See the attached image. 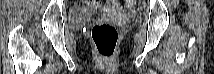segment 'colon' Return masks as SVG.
Listing matches in <instances>:
<instances>
[{
    "instance_id": "5ec220e1",
    "label": "colon",
    "mask_w": 214,
    "mask_h": 74,
    "mask_svg": "<svg viewBox=\"0 0 214 74\" xmlns=\"http://www.w3.org/2000/svg\"><path fill=\"white\" fill-rule=\"evenodd\" d=\"M101 1H90L92 8H99ZM136 4L135 0H125L127 9H132ZM118 31L115 26L109 23H96L92 28V40L98 54L102 57H111L117 47Z\"/></svg>"
}]
</instances>
